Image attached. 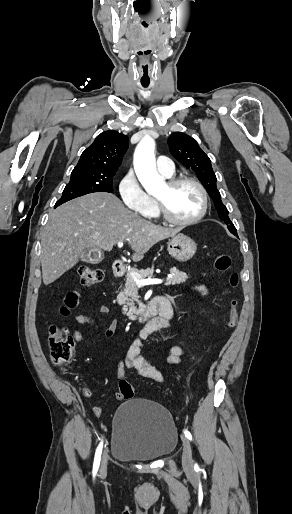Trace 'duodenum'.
I'll list each match as a JSON object with an SVG mask.
<instances>
[{
  "instance_id": "duodenum-1",
  "label": "duodenum",
  "mask_w": 292,
  "mask_h": 514,
  "mask_svg": "<svg viewBox=\"0 0 292 514\" xmlns=\"http://www.w3.org/2000/svg\"><path fill=\"white\" fill-rule=\"evenodd\" d=\"M113 274L116 277H123L125 268L117 263L113 266ZM172 309L171 302L166 296L157 295L152 298L141 313L145 317L143 320L144 331L151 333L165 329L161 327V321L171 316Z\"/></svg>"
}]
</instances>
